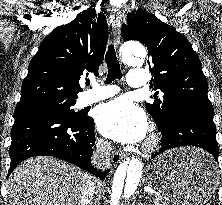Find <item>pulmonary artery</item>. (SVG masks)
<instances>
[{
  "label": "pulmonary artery",
  "instance_id": "pulmonary-artery-1",
  "mask_svg": "<svg viewBox=\"0 0 222 205\" xmlns=\"http://www.w3.org/2000/svg\"><path fill=\"white\" fill-rule=\"evenodd\" d=\"M147 82L146 72L142 69L129 70L127 83L130 87H143ZM119 92V89L113 85L94 84V88L84 94L83 104L88 105L106 98L112 97Z\"/></svg>",
  "mask_w": 222,
  "mask_h": 205
}]
</instances>
